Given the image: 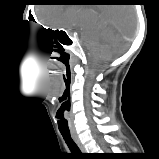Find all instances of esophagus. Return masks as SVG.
<instances>
[{
  "instance_id": "34e87169",
  "label": "esophagus",
  "mask_w": 159,
  "mask_h": 159,
  "mask_svg": "<svg viewBox=\"0 0 159 159\" xmlns=\"http://www.w3.org/2000/svg\"><path fill=\"white\" fill-rule=\"evenodd\" d=\"M72 139L74 140V142L77 144L78 148L80 149V151L82 153L86 152V149L84 147V145L82 144V142L80 141L79 137L77 136V134H72Z\"/></svg>"
}]
</instances>
